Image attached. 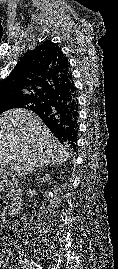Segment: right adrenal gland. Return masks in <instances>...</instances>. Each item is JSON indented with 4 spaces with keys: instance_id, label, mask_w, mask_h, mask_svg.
Returning <instances> with one entry per match:
<instances>
[{
    "instance_id": "1",
    "label": "right adrenal gland",
    "mask_w": 118,
    "mask_h": 269,
    "mask_svg": "<svg viewBox=\"0 0 118 269\" xmlns=\"http://www.w3.org/2000/svg\"><path fill=\"white\" fill-rule=\"evenodd\" d=\"M42 169H43V167H39L36 170H34L33 172H38V171H41Z\"/></svg>"
}]
</instances>
